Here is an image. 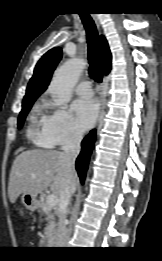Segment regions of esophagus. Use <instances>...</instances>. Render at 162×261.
I'll return each instance as SVG.
<instances>
[{"instance_id": "esophagus-1", "label": "esophagus", "mask_w": 162, "mask_h": 261, "mask_svg": "<svg viewBox=\"0 0 162 261\" xmlns=\"http://www.w3.org/2000/svg\"><path fill=\"white\" fill-rule=\"evenodd\" d=\"M94 20L98 26V28L100 29V24L98 21V18L96 16H94ZM104 96H105V81L103 82L102 86H101V92H100V110H99V115H98V119L96 122L95 127H97L100 123V120L102 118L103 112H104V107H105V102H104Z\"/></svg>"}]
</instances>
